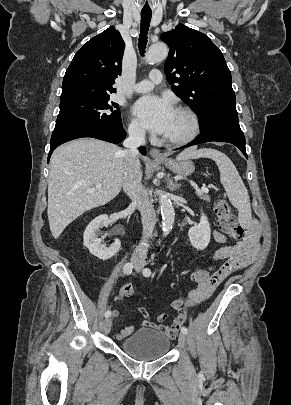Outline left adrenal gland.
Wrapping results in <instances>:
<instances>
[{
    "mask_svg": "<svg viewBox=\"0 0 291 405\" xmlns=\"http://www.w3.org/2000/svg\"><path fill=\"white\" fill-rule=\"evenodd\" d=\"M167 185L170 191L175 192L180 188V184L174 183L170 175L167 177Z\"/></svg>",
    "mask_w": 291,
    "mask_h": 405,
    "instance_id": "1",
    "label": "left adrenal gland"
}]
</instances>
